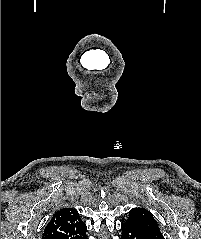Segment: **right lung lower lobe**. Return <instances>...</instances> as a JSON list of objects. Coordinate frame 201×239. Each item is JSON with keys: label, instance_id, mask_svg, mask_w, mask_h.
I'll use <instances>...</instances> for the list:
<instances>
[{"label": "right lung lower lobe", "instance_id": "1", "mask_svg": "<svg viewBox=\"0 0 201 239\" xmlns=\"http://www.w3.org/2000/svg\"><path fill=\"white\" fill-rule=\"evenodd\" d=\"M83 239H87L86 235L83 237Z\"/></svg>", "mask_w": 201, "mask_h": 239}]
</instances>
